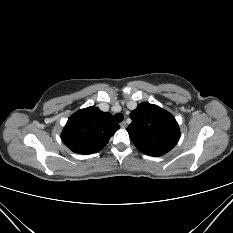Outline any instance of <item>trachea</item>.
I'll return each mask as SVG.
<instances>
[{"instance_id": "trachea-1", "label": "trachea", "mask_w": 233, "mask_h": 233, "mask_svg": "<svg viewBox=\"0 0 233 233\" xmlns=\"http://www.w3.org/2000/svg\"><path fill=\"white\" fill-rule=\"evenodd\" d=\"M124 119V115L122 113H116L114 115V120L118 123L122 122Z\"/></svg>"}]
</instances>
